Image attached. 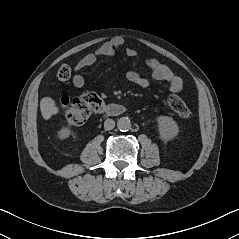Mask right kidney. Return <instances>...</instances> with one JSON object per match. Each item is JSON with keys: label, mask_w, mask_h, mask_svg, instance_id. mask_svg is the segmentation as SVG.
<instances>
[{"label": "right kidney", "mask_w": 239, "mask_h": 239, "mask_svg": "<svg viewBox=\"0 0 239 239\" xmlns=\"http://www.w3.org/2000/svg\"><path fill=\"white\" fill-rule=\"evenodd\" d=\"M71 131L69 128H63L59 131L58 135L60 139H66L69 137Z\"/></svg>", "instance_id": "obj_1"}]
</instances>
